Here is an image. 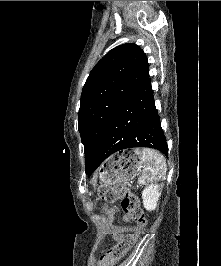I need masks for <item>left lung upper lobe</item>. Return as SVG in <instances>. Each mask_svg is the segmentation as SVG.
Returning <instances> with one entry per match:
<instances>
[{"mask_svg":"<svg viewBox=\"0 0 221 266\" xmlns=\"http://www.w3.org/2000/svg\"><path fill=\"white\" fill-rule=\"evenodd\" d=\"M148 77L146 55L134 43L115 47L92 69L82 90L78 114L86 166L92 163L124 100Z\"/></svg>","mask_w":221,"mask_h":266,"instance_id":"1","label":"left lung upper lobe"}]
</instances>
